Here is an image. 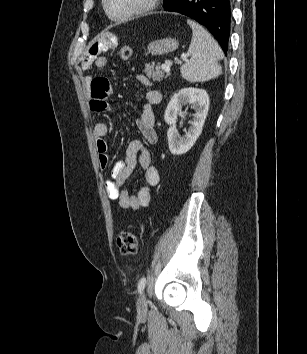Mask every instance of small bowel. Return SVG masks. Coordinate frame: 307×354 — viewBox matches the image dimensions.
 Here are the masks:
<instances>
[{"instance_id":"obj_1","label":"small bowel","mask_w":307,"mask_h":354,"mask_svg":"<svg viewBox=\"0 0 307 354\" xmlns=\"http://www.w3.org/2000/svg\"><path fill=\"white\" fill-rule=\"evenodd\" d=\"M117 46V37L114 33H105L98 41L93 43L85 54L81 68L90 70L93 66L102 68L107 64V59L101 56V52L114 49ZM142 84L148 87L143 103V110L137 120V127L143 139L148 143H155L157 133L155 130V116L152 106L161 101V93L150 87L148 79L138 76ZM86 87L91 95V109L97 113L110 110L108 98L110 94L109 82L104 77L88 75L84 79ZM109 128L105 122H98L94 126V137L98 151L99 165L105 169L109 165L107 154L108 145L105 140ZM139 165L143 171L146 186L142 187L136 195L129 194L125 188V182L130 177L134 168ZM160 181L159 171L151 163L150 153L142 140L136 139L129 143L126 149L125 159L116 161L111 167V180L105 183L106 191L110 199L118 200L123 209L138 210L150 205L152 201L151 188L157 186Z\"/></svg>"}]
</instances>
